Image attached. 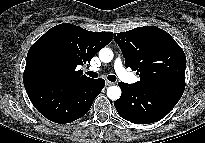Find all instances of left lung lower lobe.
Returning <instances> with one entry per match:
<instances>
[{
	"mask_svg": "<svg viewBox=\"0 0 205 143\" xmlns=\"http://www.w3.org/2000/svg\"><path fill=\"white\" fill-rule=\"evenodd\" d=\"M121 97L114 102L119 115L135 124H149L165 117L181 98L185 81L175 80L136 86L118 83Z\"/></svg>",
	"mask_w": 205,
	"mask_h": 143,
	"instance_id": "left-lung-lower-lobe-1",
	"label": "left lung lower lobe"
}]
</instances>
